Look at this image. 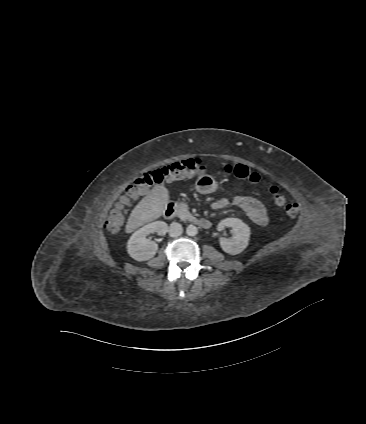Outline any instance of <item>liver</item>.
Returning <instances> with one entry per match:
<instances>
[{"label": "liver", "instance_id": "liver-1", "mask_svg": "<svg viewBox=\"0 0 366 424\" xmlns=\"http://www.w3.org/2000/svg\"><path fill=\"white\" fill-rule=\"evenodd\" d=\"M169 202V193L164 185H156L132 210L125 232L131 233L140 226L159 218Z\"/></svg>", "mask_w": 366, "mask_h": 424}]
</instances>
